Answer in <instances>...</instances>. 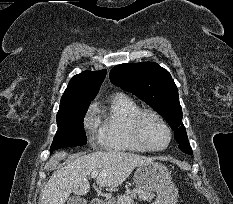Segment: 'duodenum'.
Returning a JSON list of instances; mask_svg holds the SVG:
<instances>
[{
  "mask_svg": "<svg viewBox=\"0 0 233 204\" xmlns=\"http://www.w3.org/2000/svg\"><path fill=\"white\" fill-rule=\"evenodd\" d=\"M91 204H103L102 201L100 199H93L91 201Z\"/></svg>",
  "mask_w": 233,
  "mask_h": 204,
  "instance_id": "410a0bca",
  "label": "duodenum"
}]
</instances>
